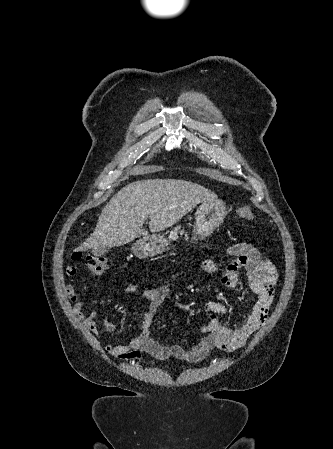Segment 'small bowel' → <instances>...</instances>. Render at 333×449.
Masks as SVG:
<instances>
[{"label": "small bowel", "instance_id": "obj_1", "mask_svg": "<svg viewBox=\"0 0 333 449\" xmlns=\"http://www.w3.org/2000/svg\"><path fill=\"white\" fill-rule=\"evenodd\" d=\"M229 254L234 259L225 267H221L215 260L203 261V269L206 272L222 274V283L230 289H236L241 284L239 270L246 268L249 273L247 285L249 290L256 295V301L252 306L248 317L236 328H229L220 321L225 312L224 306L216 301L206 304L210 313L209 322L201 328L202 337L196 343L162 344L151 335L158 307L165 298L170 297V285L147 289L143 292L146 308L142 313V323L139 333L127 343L109 344L107 352L118 360L135 363L140 361L143 354L159 360L166 361L171 358L196 362L206 357L214 348L222 350H235L244 345L246 340L254 334L266 321L269 309L273 303L278 274L274 265L263 257L252 245L238 243L230 247ZM75 266L66 268V275H76ZM64 293L72 304L73 313L82 319L94 336H98L96 327L97 314L91 312L88 316L82 314L84 304L78 298L74 287L67 284ZM102 325L108 332H114L116 325L107 319H103Z\"/></svg>", "mask_w": 333, "mask_h": 449}]
</instances>
